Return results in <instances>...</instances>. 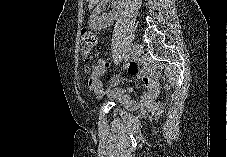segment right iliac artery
<instances>
[{
	"mask_svg": "<svg viewBox=\"0 0 227 157\" xmlns=\"http://www.w3.org/2000/svg\"><path fill=\"white\" fill-rule=\"evenodd\" d=\"M125 56H130V48H125Z\"/></svg>",
	"mask_w": 227,
	"mask_h": 157,
	"instance_id": "82829eb1",
	"label": "right iliac artery"
}]
</instances>
